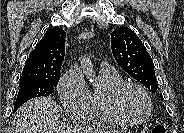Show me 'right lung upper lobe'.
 I'll use <instances>...</instances> for the list:
<instances>
[{"mask_svg":"<svg viewBox=\"0 0 184 133\" xmlns=\"http://www.w3.org/2000/svg\"><path fill=\"white\" fill-rule=\"evenodd\" d=\"M65 36L60 28L48 29L25 61L20 80L58 76L65 55Z\"/></svg>","mask_w":184,"mask_h":133,"instance_id":"cb5924a9","label":"right lung upper lobe"}]
</instances>
